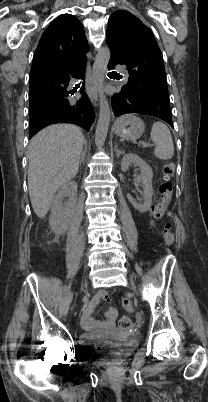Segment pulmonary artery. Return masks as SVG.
<instances>
[{
    "mask_svg": "<svg viewBox=\"0 0 208 402\" xmlns=\"http://www.w3.org/2000/svg\"><path fill=\"white\" fill-rule=\"evenodd\" d=\"M125 71H126L125 66H123V65H119V66H118V69H117V72H118V73L125 72Z\"/></svg>",
    "mask_w": 208,
    "mask_h": 402,
    "instance_id": "pulmonary-artery-1",
    "label": "pulmonary artery"
}]
</instances>
